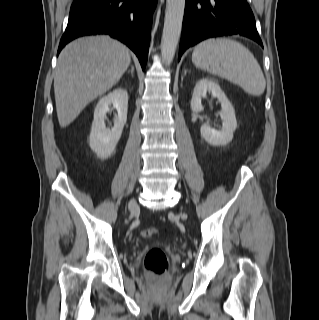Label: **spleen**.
<instances>
[{"mask_svg": "<svg viewBox=\"0 0 319 320\" xmlns=\"http://www.w3.org/2000/svg\"><path fill=\"white\" fill-rule=\"evenodd\" d=\"M192 62L196 67L242 87L250 95L260 96L265 91L266 81L259 63L237 41L206 39L195 47Z\"/></svg>", "mask_w": 319, "mask_h": 320, "instance_id": "1", "label": "spleen"}]
</instances>
